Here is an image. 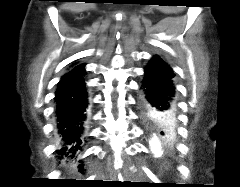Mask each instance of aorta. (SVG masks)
<instances>
[{
  "label": "aorta",
  "instance_id": "aorta-1",
  "mask_svg": "<svg viewBox=\"0 0 240 187\" xmlns=\"http://www.w3.org/2000/svg\"><path fill=\"white\" fill-rule=\"evenodd\" d=\"M149 145L151 150L156 154L159 155L161 154V150H162V141L160 139V137L158 136L157 133H151L149 135Z\"/></svg>",
  "mask_w": 240,
  "mask_h": 187
}]
</instances>
